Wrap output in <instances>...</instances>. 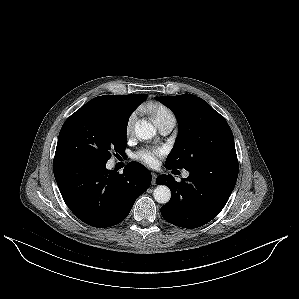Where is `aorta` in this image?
Returning a JSON list of instances; mask_svg holds the SVG:
<instances>
[{"mask_svg": "<svg viewBox=\"0 0 299 299\" xmlns=\"http://www.w3.org/2000/svg\"><path fill=\"white\" fill-rule=\"evenodd\" d=\"M135 133L139 139L150 140L156 135V128L147 121L142 120L135 125ZM154 199L161 204H166L171 198V191L165 185H158L153 192Z\"/></svg>", "mask_w": 299, "mask_h": 299, "instance_id": "762f6f07", "label": "aorta"}]
</instances>
